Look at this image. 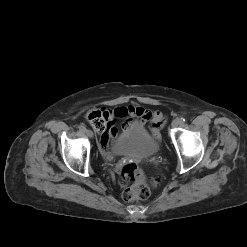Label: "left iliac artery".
<instances>
[{
    "label": "left iliac artery",
    "mask_w": 247,
    "mask_h": 247,
    "mask_svg": "<svg viewBox=\"0 0 247 247\" xmlns=\"http://www.w3.org/2000/svg\"><path fill=\"white\" fill-rule=\"evenodd\" d=\"M180 124H183L185 122V118L181 117L178 119Z\"/></svg>",
    "instance_id": "1"
}]
</instances>
